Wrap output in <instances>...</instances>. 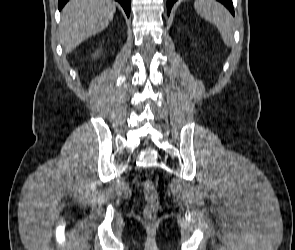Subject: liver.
I'll list each match as a JSON object with an SVG mask.
<instances>
[{"label": "liver", "instance_id": "1", "mask_svg": "<svg viewBox=\"0 0 295 250\" xmlns=\"http://www.w3.org/2000/svg\"><path fill=\"white\" fill-rule=\"evenodd\" d=\"M111 0H70L62 11L60 33L65 53L103 31L115 14Z\"/></svg>", "mask_w": 295, "mask_h": 250}]
</instances>
